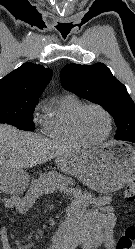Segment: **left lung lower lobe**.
<instances>
[{"instance_id":"0a47b994","label":"left lung lower lobe","mask_w":135,"mask_h":249,"mask_svg":"<svg viewBox=\"0 0 135 249\" xmlns=\"http://www.w3.org/2000/svg\"><path fill=\"white\" fill-rule=\"evenodd\" d=\"M130 142H133V143H135V139H132Z\"/></svg>"}]
</instances>
